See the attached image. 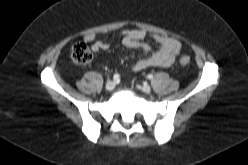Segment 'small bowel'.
<instances>
[{
  "instance_id": "c3829d8e",
  "label": "small bowel",
  "mask_w": 248,
  "mask_h": 165,
  "mask_svg": "<svg viewBox=\"0 0 248 165\" xmlns=\"http://www.w3.org/2000/svg\"><path fill=\"white\" fill-rule=\"evenodd\" d=\"M148 32L143 29H128L120 33L122 44L127 48H139L142 55L132 62L135 71L145 70L151 67L171 66L181 50V43L172 37L154 34L152 38L158 45V49L153 51L151 46L145 42ZM84 39L92 44L95 51L107 50L110 43L98 39L93 33L87 34Z\"/></svg>"
}]
</instances>
